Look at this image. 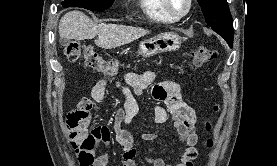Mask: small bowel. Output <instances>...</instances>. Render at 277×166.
I'll use <instances>...</instances> for the list:
<instances>
[{
  "label": "small bowel",
  "mask_w": 277,
  "mask_h": 166,
  "mask_svg": "<svg viewBox=\"0 0 277 166\" xmlns=\"http://www.w3.org/2000/svg\"><path fill=\"white\" fill-rule=\"evenodd\" d=\"M155 79V72L145 71L141 74L129 72L115 81L99 80L92 88L91 97L83 98L77 108L67 116V126L73 121L76 112L85 114L84 122L88 126L93 106L103 101L108 86L113 85L124 97L123 105L116 110L113 126L115 139L122 149V166H137L135 139L123 125L130 124L139 113L140 108L136 96L142 95L147 88L153 85ZM152 96L159 102L154 109L155 122L162 124L170 116L178 139L185 149L175 165L167 163L161 157H151L145 154L143 155L144 160L151 166H193L194 160L198 157L196 115L194 110L182 100L179 84L173 80L162 81L153 86ZM111 133L108 126L102 125L95 127L87 134L78 149L80 161L87 159L83 162L84 166L109 165L108 154H97V150L100 144H110ZM156 138L157 134L155 133L143 132L141 134V139L144 141H153Z\"/></svg>",
  "instance_id": "obj_1"
}]
</instances>
